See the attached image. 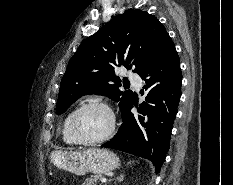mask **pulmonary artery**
<instances>
[{
    "label": "pulmonary artery",
    "instance_id": "1",
    "mask_svg": "<svg viewBox=\"0 0 233 185\" xmlns=\"http://www.w3.org/2000/svg\"><path fill=\"white\" fill-rule=\"evenodd\" d=\"M129 80L132 83L133 86H135L136 88H140L141 86V78L136 75V74H129Z\"/></svg>",
    "mask_w": 233,
    "mask_h": 185
}]
</instances>
